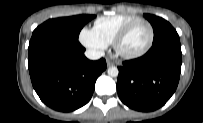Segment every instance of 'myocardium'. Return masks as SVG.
Returning a JSON list of instances; mask_svg holds the SVG:
<instances>
[{"label": "myocardium", "instance_id": "1", "mask_svg": "<svg viewBox=\"0 0 203 123\" xmlns=\"http://www.w3.org/2000/svg\"><path fill=\"white\" fill-rule=\"evenodd\" d=\"M140 23H144L148 26L149 30H150V37L148 40V43L146 44V46L141 49L138 52H134V53H127L121 50V43L123 42V40L126 38V36L130 33V31L137 25ZM154 38H155V30L153 25L145 19H138L135 20L131 23H129L128 25H126L114 38L112 45H113V49L115 51V53L123 58V59H127V60H131V59H136L139 58L143 55H145L152 47L153 42H154Z\"/></svg>", "mask_w": 203, "mask_h": 123}]
</instances>
